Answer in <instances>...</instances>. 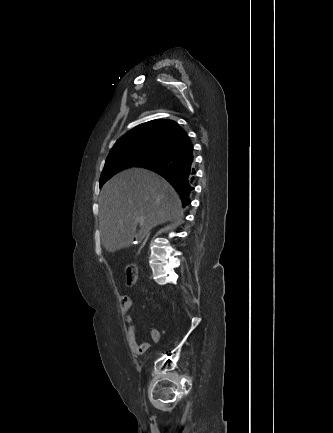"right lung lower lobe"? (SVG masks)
Masks as SVG:
<instances>
[{"mask_svg":"<svg viewBox=\"0 0 333 433\" xmlns=\"http://www.w3.org/2000/svg\"><path fill=\"white\" fill-rule=\"evenodd\" d=\"M162 175L181 195L183 206L189 205L190 193L194 190L195 163L191 142L170 153L164 159L145 166Z\"/></svg>","mask_w":333,"mask_h":433,"instance_id":"98d812e1","label":"right lung lower lobe"}]
</instances>
